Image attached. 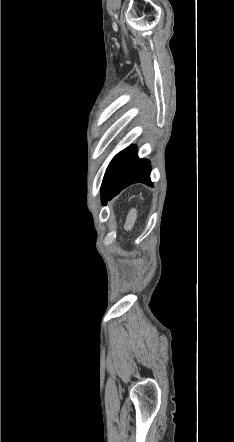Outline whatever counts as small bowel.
Wrapping results in <instances>:
<instances>
[{"label":"small bowel","mask_w":234,"mask_h":442,"mask_svg":"<svg viewBox=\"0 0 234 442\" xmlns=\"http://www.w3.org/2000/svg\"><path fill=\"white\" fill-rule=\"evenodd\" d=\"M135 220H136V211L131 210L127 217L126 227L130 229L133 226Z\"/></svg>","instance_id":"c3829d8e"}]
</instances>
